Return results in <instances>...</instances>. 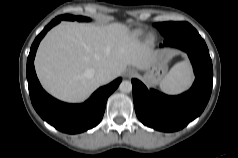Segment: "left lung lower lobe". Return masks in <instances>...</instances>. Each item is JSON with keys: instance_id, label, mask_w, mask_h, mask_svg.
<instances>
[{"instance_id": "1", "label": "left lung lower lobe", "mask_w": 238, "mask_h": 158, "mask_svg": "<svg viewBox=\"0 0 238 158\" xmlns=\"http://www.w3.org/2000/svg\"><path fill=\"white\" fill-rule=\"evenodd\" d=\"M185 51L196 76L191 89L178 96H168L132 79L133 101L138 119L159 131L173 132L184 128L206 107L213 83L212 61L205 41L192 27L165 37L164 45Z\"/></svg>"}]
</instances>
